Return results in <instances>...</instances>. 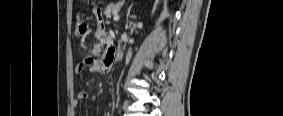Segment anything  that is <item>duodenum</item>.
Masks as SVG:
<instances>
[{"label": "duodenum", "instance_id": "410a0bca", "mask_svg": "<svg viewBox=\"0 0 283 116\" xmlns=\"http://www.w3.org/2000/svg\"><path fill=\"white\" fill-rule=\"evenodd\" d=\"M113 61H114V59H113V58H110V59H109V63H110V64H112V63H113Z\"/></svg>", "mask_w": 283, "mask_h": 116}]
</instances>
